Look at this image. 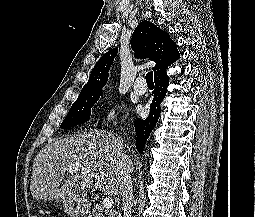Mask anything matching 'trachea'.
<instances>
[{"instance_id": "1", "label": "trachea", "mask_w": 255, "mask_h": 217, "mask_svg": "<svg viewBox=\"0 0 255 217\" xmlns=\"http://www.w3.org/2000/svg\"><path fill=\"white\" fill-rule=\"evenodd\" d=\"M146 82L148 85H154V82H153V72H148L146 74Z\"/></svg>"}]
</instances>
